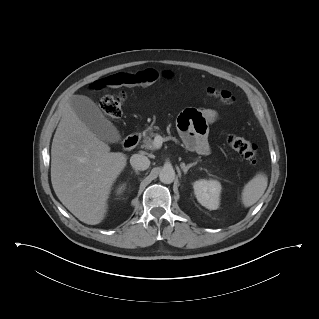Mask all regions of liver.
<instances>
[{"label":"liver","instance_id":"6515ba94","mask_svg":"<svg viewBox=\"0 0 319 319\" xmlns=\"http://www.w3.org/2000/svg\"><path fill=\"white\" fill-rule=\"evenodd\" d=\"M127 156L110 152L73 111L69 101L51 147V182L62 204L80 221L96 225L107 212V200Z\"/></svg>","mask_w":319,"mask_h":319}]
</instances>
